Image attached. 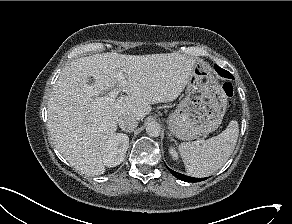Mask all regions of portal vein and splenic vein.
<instances>
[{"instance_id": "portal-vein-and-splenic-vein-1", "label": "portal vein and splenic vein", "mask_w": 292, "mask_h": 224, "mask_svg": "<svg viewBox=\"0 0 292 224\" xmlns=\"http://www.w3.org/2000/svg\"><path fill=\"white\" fill-rule=\"evenodd\" d=\"M120 85H125L126 81L122 74H119ZM120 89H114L107 93L104 97H99L93 100L92 107L99 105L101 103H110L115 101V98L118 96Z\"/></svg>"}]
</instances>
